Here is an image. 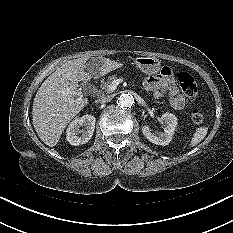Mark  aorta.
<instances>
[{
  "label": "aorta",
  "instance_id": "762f6f07",
  "mask_svg": "<svg viewBox=\"0 0 233 233\" xmlns=\"http://www.w3.org/2000/svg\"><path fill=\"white\" fill-rule=\"evenodd\" d=\"M117 104L120 108L127 109L132 107L134 104V98L131 94H121L120 97L118 98Z\"/></svg>",
  "mask_w": 233,
  "mask_h": 233
}]
</instances>
